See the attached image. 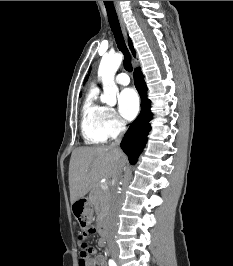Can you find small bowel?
<instances>
[{"label": "small bowel", "mask_w": 233, "mask_h": 266, "mask_svg": "<svg viewBox=\"0 0 233 266\" xmlns=\"http://www.w3.org/2000/svg\"><path fill=\"white\" fill-rule=\"evenodd\" d=\"M105 244L104 239L99 240V245L103 246ZM79 266H106V258L102 254H96V249L92 248V253L89 257H87L83 264Z\"/></svg>", "instance_id": "small-bowel-1"}]
</instances>
